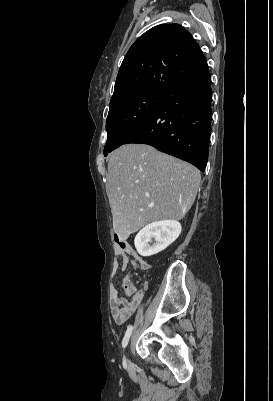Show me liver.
Instances as JSON below:
<instances>
[{"label":"liver","instance_id":"liver-1","mask_svg":"<svg viewBox=\"0 0 273 401\" xmlns=\"http://www.w3.org/2000/svg\"><path fill=\"white\" fill-rule=\"evenodd\" d=\"M200 170L149 144H122L108 162L107 196L113 231L128 239L148 223L180 221L191 209Z\"/></svg>","mask_w":273,"mask_h":401}]
</instances>
